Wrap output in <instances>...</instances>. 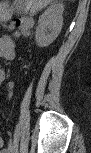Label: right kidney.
I'll return each instance as SVG.
<instances>
[{"instance_id": "ca27d5eb", "label": "right kidney", "mask_w": 91, "mask_h": 153, "mask_svg": "<svg viewBox=\"0 0 91 153\" xmlns=\"http://www.w3.org/2000/svg\"><path fill=\"white\" fill-rule=\"evenodd\" d=\"M63 11L64 5L55 1L39 17L35 34L39 47L49 46L58 37L63 25Z\"/></svg>"}]
</instances>
